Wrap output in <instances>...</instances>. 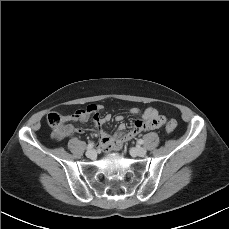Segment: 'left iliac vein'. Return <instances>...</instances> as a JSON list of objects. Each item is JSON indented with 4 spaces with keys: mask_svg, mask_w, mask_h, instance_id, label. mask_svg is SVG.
Returning <instances> with one entry per match:
<instances>
[{
    "mask_svg": "<svg viewBox=\"0 0 229 229\" xmlns=\"http://www.w3.org/2000/svg\"><path fill=\"white\" fill-rule=\"evenodd\" d=\"M131 153L136 156L143 157L146 155L147 151L143 147H135L131 149Z\"/></svg>",
    "mask_w": 229,
    "mask_h": 229,
    "instance_id": "4c4485c4",
    "label": "left iliac vein"
}]
</instances>
